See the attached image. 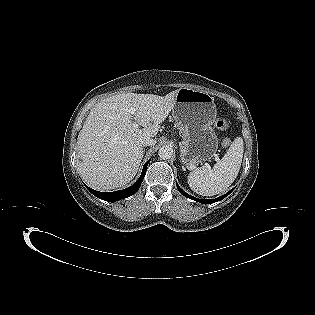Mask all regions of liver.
Here are the masks:
<instances>
[{
	"mask_svg": "<svg viewBox=\"0 0 315 315\" xmlns=\"http://www.w3.org/2000/svg\"><path fill=\"white\" fill-rule=\"evenodd\" d=\"M177 92L163 97L122 93L94 105L77 139L78 171L90 187L115 189L135 177L144 155L142 140L157 135L159 124L174 107ZM131 107L136 110L134 116Z\"/></svg>",
	"mask_w": 315,
	"mask_h": 315,
	"instance_id": "liver-1",
	"label": "liver"
}]
</instances>
